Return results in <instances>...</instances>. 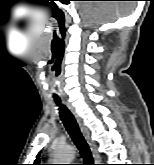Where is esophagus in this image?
Listing matches in <instances>:
<instances>
[{
	"label": "esophagus",
	"mask_w": 154,
	"mask_h": 165,
	"mask_svg": "<svg viewBox=\"0 0 154 165\" xmlns=\"http://www.w3.org/2000/svg\"><path fill=\"white\" fill-rule=\"evenodd\" d=\"M66 104H67L68 108L70 109V111L72 112L73 116L75 117L76 122L78 123V126H79L82 134L84 135L85 139L87 140L94 160L95 161L98 160L99 154H98L97 146L91 140L89 129L86 127L82 118L78 115V113L75 111V109L69 103H66Z\"/></svg>",
	"instance_id": "obj_1"
}]
</instances>
